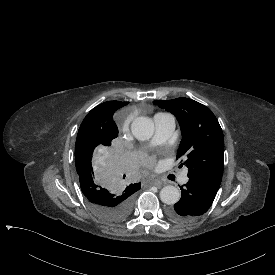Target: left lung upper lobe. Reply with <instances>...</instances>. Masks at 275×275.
Instances as JSON below:
<instances>
[{"label": "left lung upper lobe", "instance_id": "left-lung-upper-lobe-1", "mask_svg": "<svg viewBox=\"0 0 275 275\" xmlns=\"http://www.w3.org/2000/svg\"><path fill=\"white\" fill-rule=\"evenodd\" d=\"M154 103L174 114L180 124L182 140L177 158L186 159L188 177L220 186L224 167V138L211 110L184 97L155 100Z\"/></svg>", "mask_w": 275, "mask_h": 275}]
</instances>
